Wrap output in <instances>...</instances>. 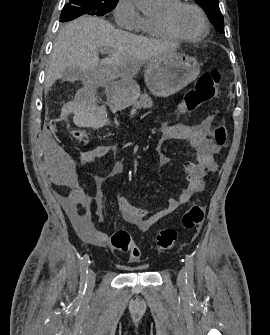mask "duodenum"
<instances>
[{"label":"duodenum","mask_w":270,"mask_h":335,"mask_svg":"<svg viewBox=\"0 0 270 335\" xmlns=\"http://www.w3.org/2000/svg\"><path fill=\"white\" fill-rule=\"evenodd\" d=\"M107 93L109 96V106L112 110L118 111L125 107L126 95L120 84L109 81L107 83Z\"/></svg>","instance_id":"410a0bca"}]
</instances>
